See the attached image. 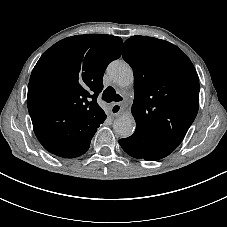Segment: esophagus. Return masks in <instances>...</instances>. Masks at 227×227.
I'll return each instance as SVG.
<instances>
[{
	"label": "esophagus",
	"instance_id": "obj_1",
	"mask_svg": "<svg viewBox=\"0 0 227 227\" xmlns=\"http://www.w3.org/2000/svg\"><path fill=\"white\" fill-rule=\"evenodd\" d=\"M122 110H123V106L120 103H115L110 108V112L112 115H118Z\"/></svg>",
	"mask_w": 227,
	"mask_h": 227
}]
</instances>
